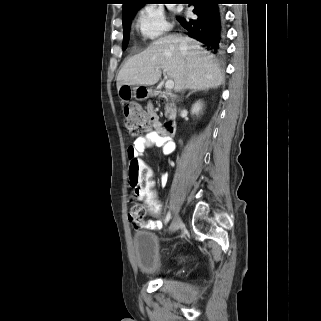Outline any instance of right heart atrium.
I'll return each instance as SVG.
<instances>
[{"label":"right heart atrium","instance_id":"d8ad5b80","mask_svg":"<svg viewBox=\"0 0 321 321\" xmlns=\"http://www.w3.org/2000/svg\"><path fill=\"white\" fill-rule=\"evenodd\" d=\"M136 26L140 33L148 39L158 38L170 29L163 9L156 5H146L140 9Z\"/></svg>","mask_w":321,"mask_h":321}]
</instances>
